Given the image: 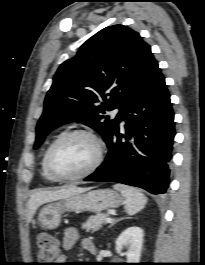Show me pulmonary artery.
<instances>
[{
    "mask_svg": "<svg viewBox=\"0 0 205 265\" xmlns=\"http://www.w3.org/2000/svg\"><path fill=\"white\" fill-rule=\"evenodd\" d=\"M119 112V109L114 110V114H117Z\"/></svg>",
    "mask_w": 205,
    "mask_h": 265,
    "instance_id": "1",
    "label": "pulmonary artery"
}]
</instances>
